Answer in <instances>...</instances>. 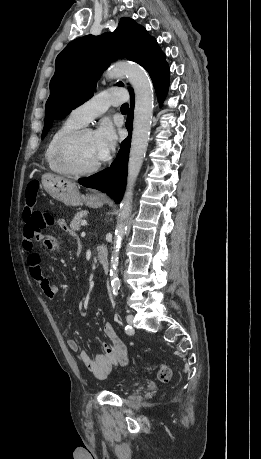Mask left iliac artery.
<instances>
[{
  "label": "left iliac artery",
  "instance_id": "44dca946",
  "mask_svg": "<svg viewBox=\"0 0 261 459\" xmlns=\"http://www.w3.org/2000/svg\"><path fill=\"white\" fill-rule=\"evenodd\" d=\"M125 332L127 334H133L134 333V330L132 329V327L130 325H126L125 326Z\"/></svg>",
  "mask_w": 261,
  "mask_h": 459
}]
</instances>
